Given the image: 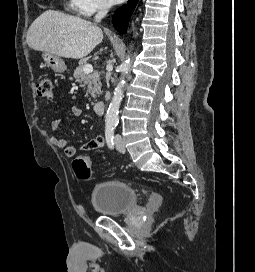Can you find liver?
<instances>
[{
	"label": "liver",
	"mask_w": 255,
	"mask_h": 272,
	"mask_svg": "<svg viewBox=\"0 0 255 272\" xmlns=\"http://www.w3.org/2000/svg\"><path fill=\"white\" fill-rule=\"evenodd\" d=\"M103 39L100 27L55 10L43 12L28 29L30 48L64 58L82 59Z\"/></svg>",
	"instance_id": "6515ba94"
}]
</instances>
